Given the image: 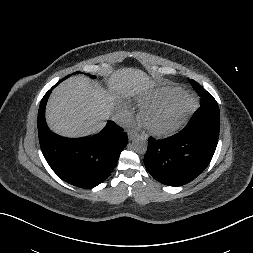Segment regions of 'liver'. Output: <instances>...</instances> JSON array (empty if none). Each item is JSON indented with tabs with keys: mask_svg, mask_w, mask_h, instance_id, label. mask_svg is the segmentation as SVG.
Masks as SVG:
<instances>
[{
	"mask_svg": "<svg viewBox=\"0 0 253 253\" xmlns=\"http://www.w3.org/2000/svg\"><path fill=\"white\" fill-rule=\"evenodd\" d=\"M108 86L106 91L84 76L64 81L53 91L46 107L49 128L67 137L97 133L105 126L120 97L146 91L153 81L142 70L123 68L111 75Z\"/></svg>",
	"mask_w": 253,
	"mask_h": 253,
	"instance_id": "liver-1",
	"label": "liver"
}]
</instances>
